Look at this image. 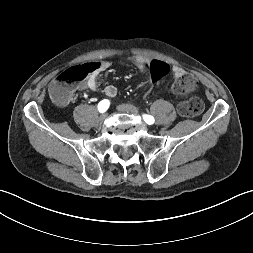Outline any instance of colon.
<instances>
[{"instance_id":"5ec220e1","label":"colon","mask_w":253,"mask_h":253,"mask_svg":"<svg viewBox=\"0 0 253 253\" xmlns=\"http://www.w3.org/2000/svg\"><path fill=\"white\" fill-rule=\"evenodd\" d=\"M94 63L75 66L67 69L61 73L55 83L51 87V97L58 104H66L72 97L74 85L83 81L87 75L95 70ZM150 83L149 87L145 90L143 96L146 98L148 93L156 88L161 83L160 78L164 77L169 72V66L166 63L158 60L150 64ZM198 81L193 74H181L172 85V90L175 94L183 95L191 92L196 88ZM204 103L198 97L189 98L181 102L178 106L180 115L185 117L196 116L203 111Z\"/></svg>"}]
</instances>
